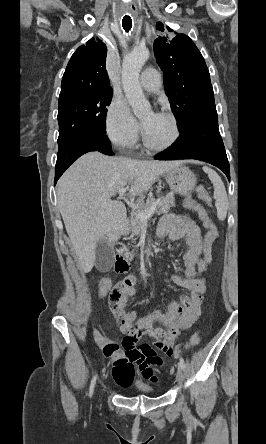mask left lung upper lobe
<instances>
[{
    "label": "left lung upper lobe",
    "instance_id": "5c2ea615",
    "mask_svg": "<svg viewBox=\"0 0 266 444\" xmlns=\"http://www.w3.org/2000/svg\"><path fill=\"white\" fill-rule=\"evenodd\" d=\"M156 29L164 31L163 24L157 23ZM154 54L164 72V88L180 128L193 116L216 109L208 68L188 36H159L154 41Z\"/></svg>",
    "mask_w": 266,
    "mask_h": 444
}]
</instances>
